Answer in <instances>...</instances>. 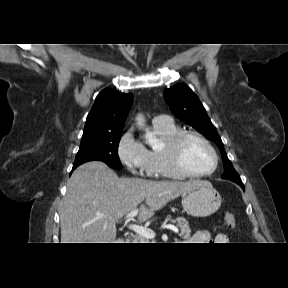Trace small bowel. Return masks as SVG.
Here are the masks:
<instances>
[{
    "label": "small bowel",
    "mask_w": 288,
    "mask_h": 288,
    "mask_svg": "<svg viewBox=\"0 0 288 288\" xmlns=\"http://www.w3.org/2000/svg\"><path fill=\"white\" fill-rule=\"evenodd\" d=\"M191 241L193 243H209V242H215V243H228V237L227 235L223 233H218L214 237L210 235V233L206 230H199L197 231L191 238Z\"/></svg>",
    "instance_id": "1"
}]
</instances>
